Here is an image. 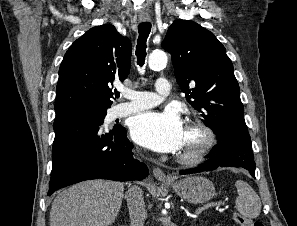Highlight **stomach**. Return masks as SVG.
I'll return each mask as SVG.
<instances>
[{
    "mask_svg": "<svg viewBox=\"0 0 297 226\" xmlns=\"http://www.w3.org/2000/svg\"><path fill=\"white\" fill-rule=\"evenodd\" d=\"M178 196L194 204L211 200L215 195V186L202 176H189L174 183H168Z\"/></svg>",
    "mask_w": 297,
    "mask_h": 226,
    "instance_id": "obj_1",
    "label": "stomach"
}]
</instances>
